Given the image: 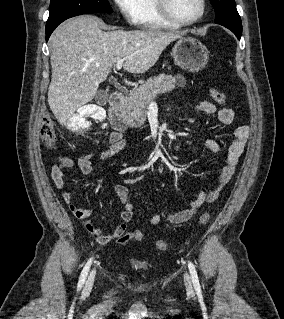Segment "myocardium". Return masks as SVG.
<instances>
[{
    "label": "myocardium",
    "instance_id": "myocardium-1",
    "mask_svg": "<svg viewBox=\"0 0 284 319\" xmlns=\"http://www.w3.org/2000/svg\"><path fill=\"white\" fill-rule=\"evenodd\" d=\"M156 9L159 15L166 20L167 22L175 25V26H188L199 22L206 13V0H200L201 9L199 14L190 20H182L177 18L170 7V0H154Z\"/></svg>",
    "mask_w": 284,
    "mask_h": 319
}]
</instances>
